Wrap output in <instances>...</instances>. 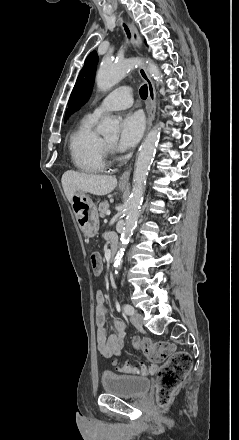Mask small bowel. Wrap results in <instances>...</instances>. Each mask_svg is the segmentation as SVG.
I'll return each instance as SVG.
<instances>
[{
	"mask_svg": "<svg viewBox=\"0 0 239 440\" xmlns=\"http://www.w3.org/2000/svg\"><path fill=\"white\" fill-rule=\"evenodd\" d=\"M111 242H115L112 234L106 236ZM96 326H97V347L101 357L108 359L113 356H119L124 345L125 328L124 324L114 320L115 332L107 335L105 322L107 310L105 307V297L102 289L96 291Z\"/></svg>",
	"mask_w": 239,
	"mask_h": 440,
	"instance_id": "1",
	"label": "small bowel"
}]
</instances>
